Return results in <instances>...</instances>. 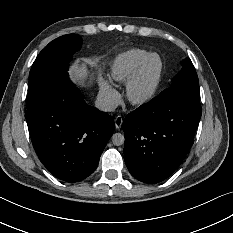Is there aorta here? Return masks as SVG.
Wrapping results in <instances>:
<instances>
[{"instance_id": "762f6f07", "label": "aorta", "mask_w": 233, "mask_h": 233, "mask_svg": "<svg viewBox=\"0 0 233 233\" xmlns=\"http://www.w3.org/2000/svg\"><path fill=\"white\" fill-rule=\"evenodd\" d=\"M112 143L116 146H120L124 144L125 138L121 133H115L112 135Z\"/></svg>"}]
</instances>
